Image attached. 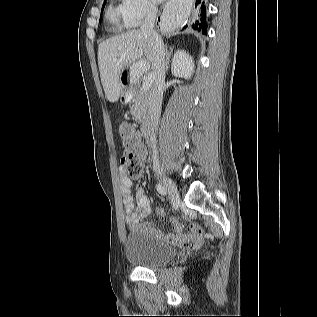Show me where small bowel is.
I'll list each match as a JSON object with an SVG mask.
<instances>
[{
	"mask_svg": "<svg viewBox=\"0 0 317 317\" xmlns=\"http://www.w3.org/2000/svg\"><path fill=\"white\" fill-rule=\"evenodd\" d=\"M146 156L145 149L141 146V158L144 160ZM120 189L123 196V206L126 215V223L130 228H139L154 238H163L170 242L183 243L185 245H196L203 239V230L197 223H192L189 226V231H184V226L180 224L175 218H170L174 226L173 232L164 234L160 229L156 228L152 223L140 225V222L145 220L151 213V206L148 197L144 190L139 188L136 191V207L131 196L132 180L128 176L125 168H120ZM159 215H164L162 209H158Z\"/></svg>",
	"mask_w": 317,
	"mask_h": 317,
	"instance_id": "1",
	"label": "small bowel"
}]
</instances>
